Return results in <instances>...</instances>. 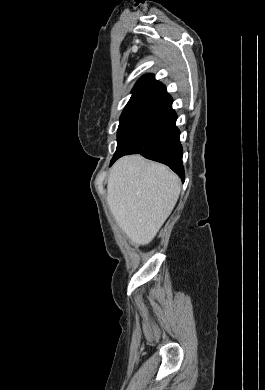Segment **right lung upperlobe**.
Returning a JSON list of instances; mask_svg holds the SVG:
<instances>
[{
    "label": "right lung upper lobe",
    "mask_w": 265,
    "mask_h": 390,
    "mask_svg": "<svg viewBox=\"0 0 265 390\" xmlns=\"http://www.w3.org/2000/svg\"><path fill=\"white\" fill-rule=\"evenodd\" d=\"M167 94L166 87L157 81L152 74H147L136 82L130 100L148 99L155 101Z\"/></svg>",
    "instance_id": "obj_1"
}]
</instances>
